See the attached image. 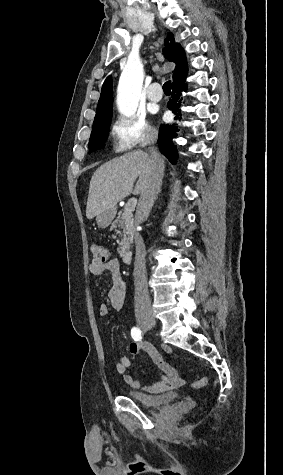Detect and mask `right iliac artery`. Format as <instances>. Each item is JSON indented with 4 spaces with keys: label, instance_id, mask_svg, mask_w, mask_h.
I'll return each instance as SVG.
<instances>
[{
    "label": "right iliac artery",
    "instance_id": "82829eb1",
    "mask_svg": "<svg viewBox=\"0 0 283 475\" xmlns=\"http://www.w3.org/2000/svg\"><path fill=\"white\" fill-rule=\"evenodd\" d=\"M131 336L135 341H140L142 339V331L140 328H132L131 330Z\"/></svg>",
    "mask_w": 283,
    "mask_h": 475
}]
</instances>
